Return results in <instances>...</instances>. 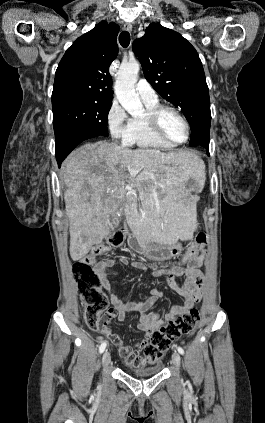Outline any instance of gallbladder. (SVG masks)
<instances>
[{
	"mask_svg": "<svg viewBox=\"0 0 265 423\" xmlns=\"http://www.w3.org/2000/svg\"><path fill=\"white\" fill-rule=\"evenodd\" d=\"M112 224L116 228L119 225V220L117 218L113 219Z\"/></svg>",
	"mask_w": 265,
	"mask_h": 423,
	"instance_id": "gallbladder-1",
	"label": "gallbladder"
}]
</instances>
